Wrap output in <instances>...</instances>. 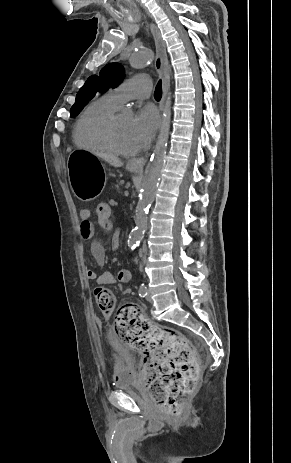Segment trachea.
I'll return each instance as SVG.
<instances>
[{
  "mask_svg": "<svg viewBox=\"0 0 291 463\" xmlns=\"http://www.w3.org/2000/svg\"><path fill=\"white\" fill-rule=\"evenodd\" d=\"M154 96H155L156 100H160L161 97H162V83H161V80L158 82V84L156 86Z\"/></svg>",
  "mask_w": 291,
  "mask_h": 463,
  "instance_id": "trachea-1",
  "label": "trachea"
}]
</instances>
